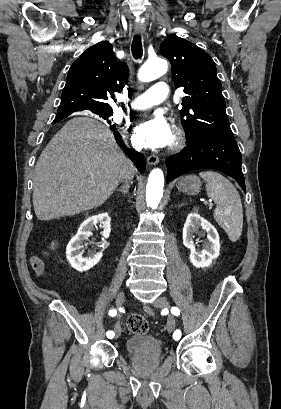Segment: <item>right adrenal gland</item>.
Segmentation results:
<instances>
[{
  "instance_id": "obj_1",
  "label": "right adrenal gland",
  "mask_w": 281,
  "mask_h": 409,
  "mask_svg": "<svg viewBox=\"0 0 281 409\" xmlns=\"http://www.w3.org/2000/svg\"><path fill=\"white\" fill-rule=\"evenodd\" d=\"M117 190H120V192H122V194H127L128 190H129L128 182H125V184H123V186H121V188H117Z\"/></svg>"
}]
</instances>
